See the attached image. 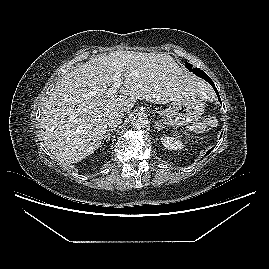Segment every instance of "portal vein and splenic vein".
<instances>
[{"mask_svg": "<svg viewBox=\"0 0 269 269\" xmlns=\"http://www.w3.org/2000/svg\"><path fill=\"white\" fill-rule=\"evenodd\" d=\"M122 86V81H121V73L117 72L113 76V84L107 91L108 96H112L117 93L118 89Z\"/></svg>", "mask_w": 269, "mask_h": 269, "instance_id": "1", "label": "portal vein and splenic vein"}]
</instances>
